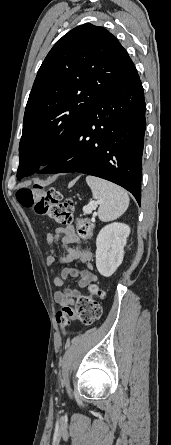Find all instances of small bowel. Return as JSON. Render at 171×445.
Returning a JSON list of instances; mask_svg holds the SVG:
<instances>
[{"label": "small bowel", "mask_w": 171, "mask_h": 445, "mask_svg": "<svg viewBox=\"0 0 171 445\" xmlns=\"http://www.w3.org/2000/svg\"><path fill=\"white\" fill-rule=\"evenodd\" d=\"M45 239L51 246V248L46 251V264L52 276L53 283L61 288L54 293V300L62 307L71 306L74 304L75 299L82 294V289L88 287L97 279L96 275L92 272V257L89 253L73 250H68L65 257L57 255L54 248L55 244L59 243L63 249H68V247L76 240L74 230L70 226L55 228L53 232H48L46 234ZM77 257L82 259L86 269L80 270L76 267L67 266L62 269L59 275L55 272L54 264L56 262L66 263ZM69 277L78 278L76 288L71 289L68 287L67 279Z\"/></svg>", "instance_id": "obj_1"}]
</instances>
